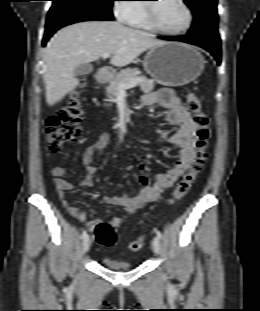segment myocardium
<instances>
[{
  "label": "myocardium",
  "instance_id": "myocardium-1",
  "mask_svg": "<svg viewBox=\"0 0 260 311\" xmlns=\"http://www.w3.org/2000/svg\"><path fill=\"white\" fill-rule=\"evenodd\" d=\"M178 2L186 10V13H187L186 25L180 30L172 31V30L164 29L157 22V19L155 16V4L154 3H147L144 5L145 16H146L147 23L151 27V29H153L159 33H162V34L169 35V36H178V35H182V34L187 33L193 25V12H192V9L190 8L189 4L186 2V0H178Z\"/></svg>",
  "mask_w": 260,
  "mask_h": 311
}]
</instances>
